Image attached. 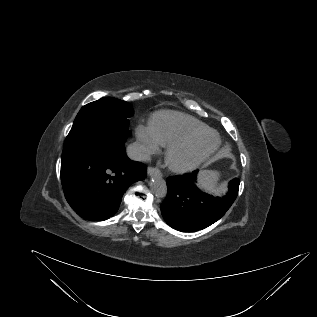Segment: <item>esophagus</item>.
Returning <instances> with one entry per match:
<instances>
[{"instance_id":"1","label":"esophagus","mask_w":317,"mask_h":317,"mask_svg":"<svg viewBox=\"0 0 317 317\" xmlns=\"http://www.w3.org/2000/svg\"><path fill=\"white\" fill-rule=\"evenodd\" d=\"M147 174L149 176H162L161 171L159 169H157V168H154V167H149L147 169Z\"/></svg>"}]
</instances>
